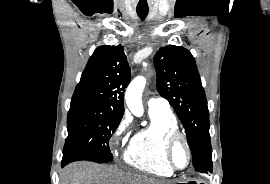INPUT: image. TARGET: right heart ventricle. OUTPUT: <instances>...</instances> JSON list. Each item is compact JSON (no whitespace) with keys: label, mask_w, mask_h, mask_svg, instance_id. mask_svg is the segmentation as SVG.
<instances>
[{"label":"right heart ventricle","mask_w":270,"mask_h":184,"mask_svg":"<svg viewBox=\"0 0 270 184\" xmlns=\"http://www.w3.org/2000/svg\"><path fill=\"white\" fill-rule=\"evenodd\" d=\"M151 122L131 139L124 154L125 162L144 172L157 176H171L173 170L164 159V141L168 132L178 129L170 109H149Z\"/></svg>","instance_id":"1"}]
</instances>
